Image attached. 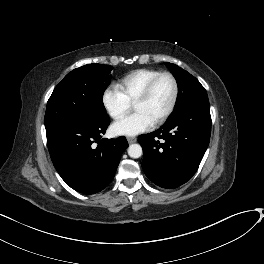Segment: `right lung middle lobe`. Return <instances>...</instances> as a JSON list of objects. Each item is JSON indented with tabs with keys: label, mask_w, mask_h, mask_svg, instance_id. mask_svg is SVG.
Masks as SVG:
<instances>
[{
	"label": "right lung middle lobe",
	"mask_w": 264,
	"mask_h": 264,
	"mask_svg": "<svg viewBox=\"0 0 264 264\" xmlns=\"http://www.w3.org/2000/svg\"><path fill=\"white\" fill-rule=\"evenodd\" d=\"M109 65L88 64L69 72L50 96L45 126L69 120H95L108 117L103 94L111 82Z\"/></svg>",
	"instance_id": "1"
}]
</instances>
